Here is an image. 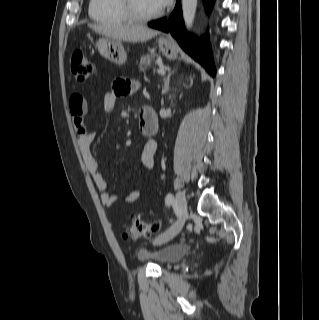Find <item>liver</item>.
<instances>
[{
	"mask_svg": "<svg viewBox=\"0 0 319 320\" xmlns=\"http://www.w3.org/2000/svg\"><path fill=\"white\" fill-rule=\"evenodd\" d=\"M90 28L99 34L126 42H144L159 34L143 25H100L90 24Z\"/></svg>",
	"mask_w": 319,
	"mask_h": 320,
	"instance_id": "1",
	"label": "liver"
}]
</instances>
